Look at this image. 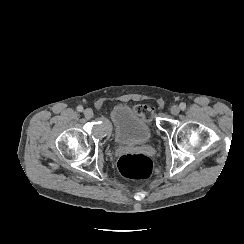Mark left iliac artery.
I'll use <instances>...</instances> for the list:
<instances>
[{
  "label": "left iliac artery",
  "mask_w": 244,
  "mask_h": 244,
  "mask_svg": "<svg viewBox=\"0 0 244 244\" xmlns=\"http://www.w3.org/2000/svg\"><path fill=\"white\" fill-rule=\"evenodd\" d=\"M180 109L185 110L186 109V104L184 102L180 103Z\"/></svg>",
  "instance_id": "obj_1"
}]
</instances>
